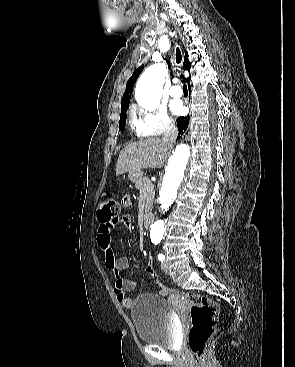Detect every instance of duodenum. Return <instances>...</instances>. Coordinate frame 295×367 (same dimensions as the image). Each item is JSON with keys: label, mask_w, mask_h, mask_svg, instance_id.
<instances>
[{"label": "duodenum", "mask_w": 295, "mask_h": 367, "mask_svg": "<svg viewBox=\"0 0 295 367\" xmlns=\"http://www.w3.org/2000/svg\"><path fill=\"white\" fill-rule=\"evenodd\" d=\"M153 221V215L151 213H146L143 218V226L148 229Z\"/></svg>", "instance_id": "1"}]
</instances>
